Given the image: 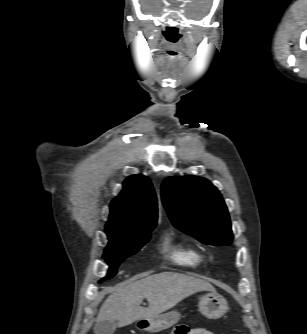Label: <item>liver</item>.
Listing matches in <instances>:
<instances>
[{"mask_svg": "<svg viewBox=\"0 0 307 334\" xmlns=\"http://www.w3.org/2000/svg\"><path fill=\"white\" fill-rule=\"evenodd\" d=\"M215 288L208 282L181 273L162 272L122 284L107 297L97 316L99 321H116L120 327L154 317L174 307L184 298ZM143 299L148 307L141 305Z\"/></svg>", "mask_w": 307, "mask_h": 334, "instance_id": "6515ba94", "label": "liver"}]
</instances>
